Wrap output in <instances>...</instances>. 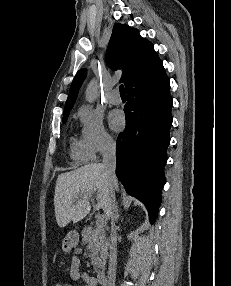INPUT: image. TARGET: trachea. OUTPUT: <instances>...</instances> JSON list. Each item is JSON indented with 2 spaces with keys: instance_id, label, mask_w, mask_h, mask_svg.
Returning <instances> with one entry per match:
<instances>
[{
  "instance_id": "3493384b",
  "label": "trachea",
  "mask_w": 231,
  "mask_h": 286,
  "mask_svg": "<svg viewBox=\"0 0 231 286\" xmlns=\"http://www.w3.org/2000/svg\"><path fill=\"white\" fill-rule=\"evenodd\" d=\"M119 91H120V94H121V95H126L124 85L121 84V85L119 86Z\"/></svg>"
}]
</instances>
